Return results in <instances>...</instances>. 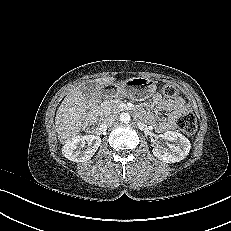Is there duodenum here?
Listing matches in <instances>:
<instances>
[{
  "instance_id": "1",
  "label": "duodenum",
  "mask_w": 231,
  "mask_h": 231,
  "mask_svg": "<svg viewBox=\"0 0 231 231\" xmlns=\"http://www.w3.org/2000/svg\"><path fill=\"white\" fill-rule=\"evenodd\" d=\"M97 103L98 99L96 97L91 98L90 100V119L95 120L97 117Z\"/></svg>"
}]
</instances>
